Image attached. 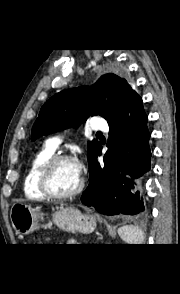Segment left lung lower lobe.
<instances>
[{"label": "left lung lower lobe", "instance_id": "obj_1", "mask_svg": "<svg viewBox=\"0 0 180 294\" xmlns=\"http://www.w3.org/2000/svg\"><path fill=\"white\" fill-rule=\"evenodd\" d=\"M141 97L136 94L108 122V151L97 161L100 145L89 163L90 183L81 197L99 213L137 215L144 211L141 177L150 170V134Z\"/></svg>", "mask_w": 180, "mask_h": 294}]
</instances>
